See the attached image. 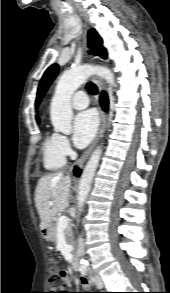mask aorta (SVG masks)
<instances>
[{
	"instance_id": "762f6f07",
	"label": "aorta",
	"mask_w": 170,
	"mask_h": 293,
	"mask_svg": "<svg viewBox=\"0 0 170 293\" xmlns=\"http://www.w3.org/2000/svg\"><path fill=\"white\" fill-rule=\"evenodd\" d=\"M98 75L105 79L110 85L114 83V74L110 69L103 66L84 65L66 71L60 77L54 96L51 101L50 117L56 132L71 134L73 111L71 108L72 94L82 85L89 76ZM102 154L100 147L90 156L80 177L79 190L77 196L78 212H81L85 200L90 192L93 177L99 164ZM86 260H81L83 267L87 266Z\"/></svg>"
}]
</instances>
